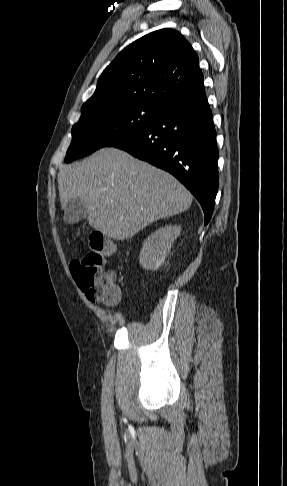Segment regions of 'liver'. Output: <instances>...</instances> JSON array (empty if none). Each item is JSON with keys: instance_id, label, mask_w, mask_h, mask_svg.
<instances>
[{"instance_id": "1", "label": "liver", "mask_w": 287, "mask_h": 486, "mask_svg": "<svg viewBox=\"0 0 287 486\" xmlns=\"http://www.w3.org/2000/svg\"><path fill=\"white\" fill-rule=\"evenodd\" d=\"M57 180L62 208L79 197L86 203L89 225L121 241L154 221L187 211L193 200L172 175L115 148L61 166Z\"/></svg>"}]
</instances>
